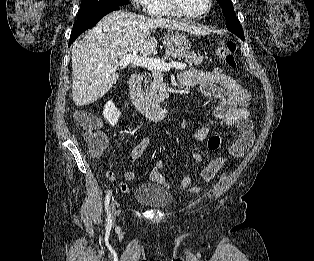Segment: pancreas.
Instances as JSON below:
<instances>
[{
  "label": "pancreas",
  "mask_w": 314,
  "mask_h": 261,
  "mask_svg": "<svg viewBox=\"0 0 314 261\" xmlns=\"http://www.w3.org/2000/svg\"><path fill=\"white\" fill-rule=\"evenodd\" d=\"M166 59H185L189 67H196L200 65L204 57L199 53L183 51L174 47H167L166 54L163 60ZM151 73L145 75V92L144 98L152 103H160L166 97L165 83L163 82V75L161 70L151 69Z\"/></svg>",
  "instance_id": "cf45deb5"
}]
</instances>
